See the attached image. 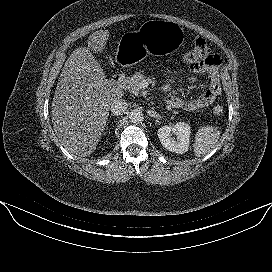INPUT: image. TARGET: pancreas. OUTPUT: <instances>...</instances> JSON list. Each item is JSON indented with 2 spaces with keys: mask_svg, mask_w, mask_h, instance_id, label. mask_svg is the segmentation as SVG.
<instances>
[{
  "mask_svg": "<svg viewBox=\"0 0 272 272\" xmlns=\"http://www.w3.org/2000/svg\"><path fill=\"white\" fill-rule=\"evenodd\" d=\"M145 78L141 72H135L131 78L125 80L124 86L130 93L138 95L141 90L140 82Z\"/></svg>",
  "mask_w": 272,
  "mask_h": 272,
  "instance_id": "cf45deb5",
  "label": "pancreas"
}]
</instances>
